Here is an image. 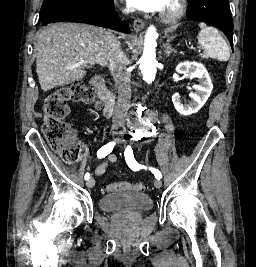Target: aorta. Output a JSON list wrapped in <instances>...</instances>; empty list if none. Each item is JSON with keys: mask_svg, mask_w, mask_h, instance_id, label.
I'll list each match as a JSON object with an SVG mask.
<instances>
[{"mask_svg": "<svg viewBox=\"0 0 256 267\" xmlns=\"http://www.w3.org/2000/svg\"><path fill=\"white\" fill-rule=\"evenodd\" d=\"M156 38H158L155 26L147 28L144 40V50L140 58V70L143 72L145 83H152L156 77L157 60H156ZM151 108H136L134 122H130V127H150V122H157V117H150ZM147 143H154V138H147Z\"/></svg>", "mask_w": 256, "mask_h": 267, "instance_id": "762f6f07", "label": "aorta"}]
</instances>
